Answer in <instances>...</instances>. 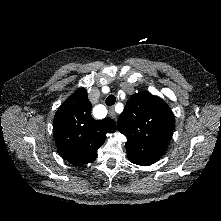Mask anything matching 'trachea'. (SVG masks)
I'll use <instances>...</instances> for the list:
<instances>
[{
    "label": "trachea",
    "instance_id": "3493384b",
    "mask_svg": "<svg viewBox=\"0 0 221 221\" xmlns=\"http://www.w3.org/2000/svg\"><path fill=\"white\" fill-rule=\"evenodd\" d=\"M115 102H116V97L113 94L109 95L106 99L107 106H112L115 104Z\"/></svg>",
    "mask_w": 221,
    "mask_h": 221
}]
</instances>
